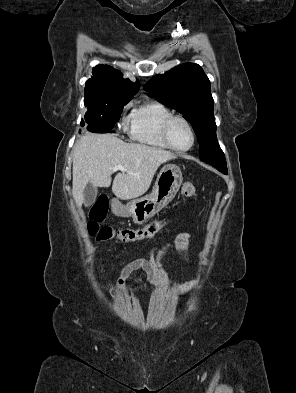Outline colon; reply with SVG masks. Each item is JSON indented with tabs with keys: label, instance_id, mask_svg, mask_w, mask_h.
Listing matches in <instances>:
<instances>
[{
	"label": "colon",
	"instance_id": "5ec220e1",
	"mask_svg": "<svg viewBox=\"0 0 296 393\" xmlns=\"http://www.w3.org/2000/svg\"><path fill=\"white\" fill-rule=\"evenodd\" d=\"M182 194L189 198L196 197L194 184L192 182H185L182 185ZM107 209V200L100 199L95 203L89 214V221L87 224L88 233L99 241L116 240L122 243H129L149 239L165 226V221L159 220L140 228L100 227L99 223L105 218Z\"/></svg>",
	"mask_w": 296,
	"mask_h": 393
}]
</instances>
